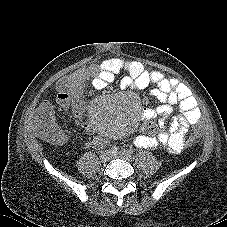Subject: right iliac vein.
I'll return each mask as SVG.
<instances>
[{
  "label": "right iliac vein",
  "instance_id": "1",
  "mask_svg": "<svg viewBox=\"0 0 227 227\" xmlns=\"http://www.w3.org/2000/svg\"><path fill=\"white\" fill-rule=\"evenodd\" d=\"M99 159L101 162H107L110 159V152L105 150L100 153Z\"/></svg>",
  "mask_w": 227,
  "mask_h": 227
}]
</instances>
